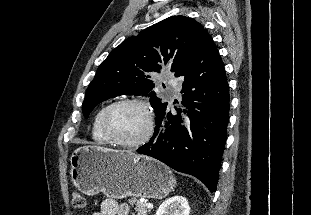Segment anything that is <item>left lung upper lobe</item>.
<instances>
[{
  "label": "left lung upper lobe",
  "instance_id": "5c2ea615",
  "mask_svg": "<svg viewBox=\"0 0 311 215\" xmlns=\"http://www.w3.org/2000/svg\"><path fill=\"white\" fill-rule=\"evenodd\" d=\"M203 26L185 16H171L124 40L99 66L82 105L84 116L102 101L119 95L150 97L155 113L166 103L153 91V74L164 67L178 70L193 56L204 37Z\"/></svg>",
  "mask_w": 311,
  "mask_h": 215
}]
</instances>
